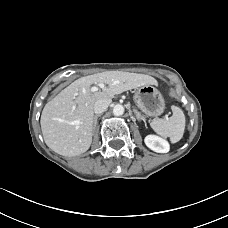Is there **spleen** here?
<instances>
[{"instance_id":"1","label":"spleen","mask_w":228,"mask_h":228,"mask_svg":"<svg viewBox=\"0 0 228 228\" xmlns=\"http://www.w3.org/2000/svg\"><path fill=\"white\" fill-rule=\"evenodd\" d=\"M172 112L173 115L170 118L153 120L150 126L161 137H169L172 143H176L183 137L185 116L177 106L172 107Z\"/></svg>"}]
</instances>
